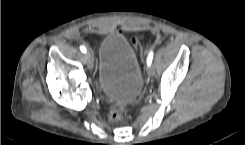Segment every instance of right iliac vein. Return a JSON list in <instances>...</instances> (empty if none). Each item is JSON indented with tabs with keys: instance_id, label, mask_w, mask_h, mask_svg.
Returning <instances> with one entry per match:
<instances>
[{
	"instance_id": "obj_1",
	"label": "right iliac vein",
	"mask_w": 245,
	"mask_h": 145,
	"mask_svg": "<svg viewBox=\"0 0 245 145\" xmlns=\"http://www.w3.org/2000/svg\"><path fill=\"white\" fill-rule=\"evenodd\" d=\"M86 60H87V65H88L89 69H93L94 58H93V55L91 53L86 54Z\"/></svg>"
}]
</instances>
